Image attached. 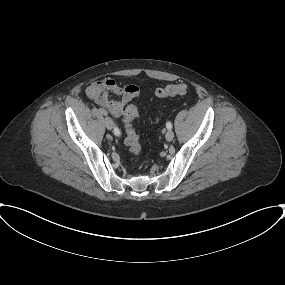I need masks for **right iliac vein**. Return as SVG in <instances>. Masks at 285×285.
<instances>
[{
  "label": "right iliac vein",
  "mask_w": 285,
  "mask_h": 285,
  "mask_svg": "<svg viewBox=\"0 0 285 285\" xmlns=\"http://www.w3.org/2000/svg\"><path fill=\"white\" fill-rule=\"evenodd\" d=\"M104 123H105V126H106V128L108 130H112V128H113V121H112V119L110 117H106Z\"/></svg>",
  "instance_id": "63e3f726"
}]
</instances>
